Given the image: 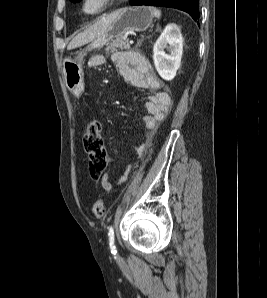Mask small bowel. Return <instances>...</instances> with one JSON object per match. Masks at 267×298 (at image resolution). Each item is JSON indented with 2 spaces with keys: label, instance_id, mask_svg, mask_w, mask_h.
I'll use <instances>...</instances> for the list:
<instances>
[{
  "label": "small bowel",
  "instance_id": "1",
  "mask_svg": "<svg viewBox=\"0 0 267 298\" xmlns=\"http://www.w3.org/2000/svg\"><path fill=\"white\" fill-rule=\"evenodd\" d=\"M111 59L126 81L136 87L153 91L146 102V109L149 114L143 118L145 135L149 138L168 114L171 98L163 89V83L155 76L150 61L141 53L133 50L116 52L112 54ZM104 63V56L96 55L89 60L88 67L89 69H96ZM124 180L125 176H121L118 183L121 184ZM100 183L104 192H109L112 189L107 174L101 177Z\"/></svg>",
  "mask_w": 267,
  "mask_h": 298
}]
</instances>
